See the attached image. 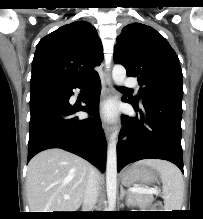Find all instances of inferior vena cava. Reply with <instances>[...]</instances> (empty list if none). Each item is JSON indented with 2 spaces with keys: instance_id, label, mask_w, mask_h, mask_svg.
<instances>
[{
  "instance_id": "inferior-vena-cava-1",
  "label": "inferior vena cava",
  "mask_w": 203,
  "mask_h": 219,
  "mask_svg": "<svg viewBox=\"0 0 203 219\" xmlns=\"http://www.w3.org/2000/svg\"><path fill=\"white\" fill-rule=\"evenodd\" d=\"M99 193V183H98V174L97 170L92 167L88 181L87 186L83 198V208L85 211L89 212L91 209L94 208L97 197Z\"/></svg>"
}]
</instances>
